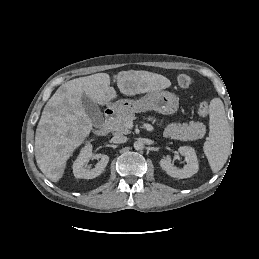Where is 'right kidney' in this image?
Returning a JSON list of instances; mask_svg holds the SVG:
<instances>
[{
	"instance_id": "ca27d5eb",
	"label": "right kidney",
	"mask_w": 259,
	"mask_h": 259,
	"mask_svg": "<svg viewBox=\"0 0 259 259\" xmlns=\"http://www.w3.org/2000/svg\"><path fill=\"white\" fill-rule=\"evenodd\" d=\"M91 159H100L93 169L86 168L85 164ZM109 162L105 154H93L92 145L86 144L80 151L79 156L73 164V173L76 178L93 179L99 176Z\"/></svg>"
}]
</instances>
